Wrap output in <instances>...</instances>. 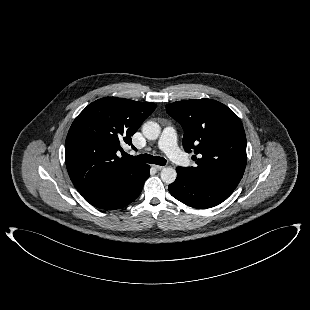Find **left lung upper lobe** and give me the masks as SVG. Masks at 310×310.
Returning a JSON list of instances; mask_svg holds the SVG:
<instances>
[{"label":"left lung upper lobe","mask_w":310,"mask_h":310,"mask_svg":"<svg viewBox=\"0 0 310 310\" xmlns=\"http://www.w3.org/2000/svg\"><path fill=\"white\" fill-rule=\"evenodd\" d=\"M166 111L184 130V150L199 156H193L195 167L182 168L235 189L247 161L241 120L224 104L207 98L167 104Z\"/></svg>","instance_id":"1"}]
</instances>
